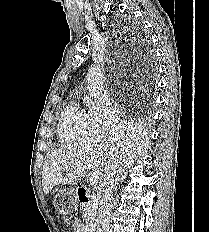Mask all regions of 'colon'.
I'll return each instance as SVG.
<instances>
[{"instance_id":"5ec220e1","label":"colon","mask_w":209,"mask_h":232,"mask_svg":"<svg viewBox=\"0 0 209 232\" xmlns=\"http://www.w3.org/2000/svg\"><path fill=\"white\" fill-rule=\"evenodd\" d=\"M65 217H66V219L68 220V217L70 216L69 214H63ZM69 221V220H68Z\"/></svg>"}]
</instances>
